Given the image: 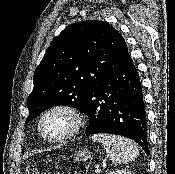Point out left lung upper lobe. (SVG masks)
I'll use <instances>...</instances> for the list:
<instances>
[{"instance_id":"1","label":"left lung upper lobe","mask_w":175,"mask_h":174,"mask_svg":"<svg viewBox=\"0 0 175 174\" xmlns=\"http://www.w3.org/2000/svg\"><path fill=\"white\" fill-rule=\"evenodd\" d=\"M127 48L122 35L102 21L69 25L55 37L35 70L26 123L56 105L84 110L90 91Z\"/></svg>"}]
</instances>
